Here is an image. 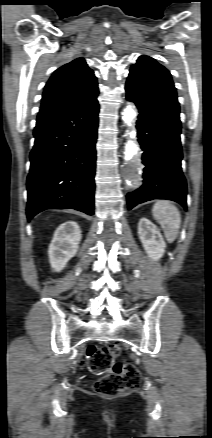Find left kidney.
<instances>
[{
  "label": "left kidney",
  "mask_w": 212,
  "mask_h": 438,
  "mask_svg": "<svg viewBox=\"0 0 212 438\" xmlns=\"http://www.w3.org/2000/svg\"><path fill=\"white\" fill-rule=\"evenodd\" d=\"M138 235L146 253L152 260L157 261L164 255L166 243L156 225L147 218L140 219Z\"/></svg>",
  "instance_id": "5707ae66"
}]
</instances>
